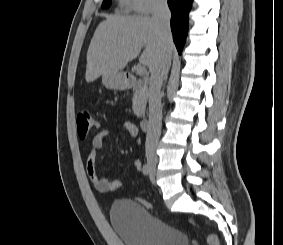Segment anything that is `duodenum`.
<instances>
[{
	"label": "duodenum",
	"instance_id": "1",
	"mask_svg": "<svg viewBox=\"0 0 283 245\" xmlns=\"http://www.w3.org/2000/svg\"><path fill=\"white\" fill-rule=\"evenodd\" d=\"M138 83V79L132 75V74H127L125 77V87L131 88L135 86ZM140 128L144 131L148 130L149 128V119L146 116H143L140 119Z\"/></svg>",
	"mask_w": 283,
	"mask_h": 245
}]
</instances>
